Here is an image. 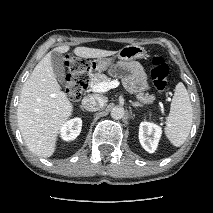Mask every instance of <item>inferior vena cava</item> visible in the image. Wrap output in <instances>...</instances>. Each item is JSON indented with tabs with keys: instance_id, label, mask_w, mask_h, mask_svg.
Segmentation results:
<instances>
[{
	"instance_id": "inferior-vena-cava-1",
	"label": "inferior vena cava",
	"mask_w": 213,
	"mask_h": 213,
	"mask_svg": "<svg viewBox=\"0 0 213 213\" xmlns=\"http://www.w3.org/2000/svg\"><path fill=\"white\" fill-rule=\"evenodd\" d=\"M107 103L106 97L101 96H88L82 100V106L84 109L88 111H98L105 106Z\"/></svg>"
}]
</instances>
